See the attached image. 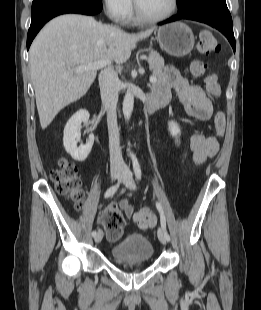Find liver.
I'll return each mask as SVG.
<instances>
[{
    "label": "liver",
    "instance_id": "obj_1",
    "mask_svg": "<svg viewBox=\"0 0 261 310\" xmlns=\"http://www.w3.org/2000/svg\"><path fill=\"white\" fill-rule=\"evenodd\" d=\"M153 31L128 34L78 14L61 15L47 23L29 50L41 128H47L64 107L83 97L94 82L97 70L75 73L76 67L100 60L122 64L137 42Z\"/></svg>",
    "mask_w": 261,
    "mask_h": 310
}]
</instances>
